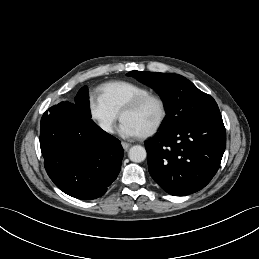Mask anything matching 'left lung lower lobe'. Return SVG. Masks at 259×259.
<instances>
[{"label":"left lung lower lobe","mask_w":259,"mask_h":259,"mask_svg":"<svg viewBox=\"0 0 259 259\" xmlns=\"http://www.w3.org/2000/svg\"><path fill=\"white\" fill-rule=\"evenodd\" d=\"M145 147L155 182L174 196L192 194L204 188L220 166L226 147L222 117L161 132Z\"/></svg>","instance_id":"0a47b994"}]
</instances>
